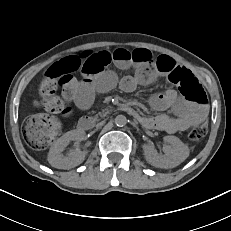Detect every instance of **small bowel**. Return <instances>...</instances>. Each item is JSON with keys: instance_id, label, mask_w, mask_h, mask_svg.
Segmentation results:
<instances>
[{"instance_id": "c3829d8e", "label": "small bowel", "mask_w": 231, "mask_h": 231, "mask_svg": "<svg viewBox=\"0 0 231 231\" xmlns=\"http://www.w3.org/2000/svg\"><path fill=\"white\" fill-rule=\"evenodd\" d=\"M59 62L68 67L70 73L74 71L81 73L80 80H76L71 75L68 88L72 99L82 109L91 105L96 93L108 92L116 86L126 92H132L138 85L150 84L160 75L169 79L174 71L190 72L169 56L153 58L151 52L146 49L130 51L119 48L113 51H87L65 57ZM110 65L121 70L134 68L135 71L133 75L119 78L116 72L108 69ZM150 103L154 109L170 110L173 115L161 113L151 118L141 117L140 122L148 128L168 133L184 131L202 123L206 120L209 110L205 102L180 96L173 89L153 96Z\"/></svg>"}]
</instances>
